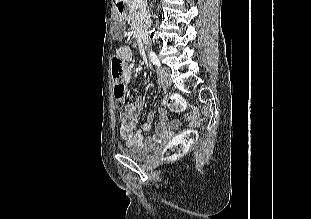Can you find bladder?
<instances>
[{
  "instance_id": "obj_1",
  "label": "bladder",
  "mask_w": 311,
  "mask_h": 219,
  "mask_svg": "<svg viewBox=\"0 0 311 219\" xmlns=\"http://www.w3.org/2000/svg\"><path fill=\"white\" fill-rule=\"evenodd\" d=\"M119 151L122 155L134 159L144 160L148 158L152 152V148L144 145L120 146Z\"/></svg>"
}]
</instances>
